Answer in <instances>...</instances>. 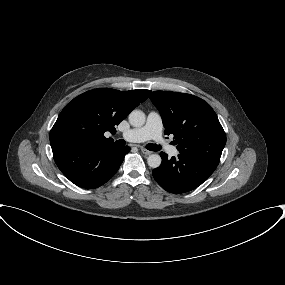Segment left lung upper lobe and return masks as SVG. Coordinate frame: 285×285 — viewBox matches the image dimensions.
Listing matches in <instances>:
<instances>
[{
    "label": "left lung upper lobe",
    "mask_w": 285,
    "mask_h": 285,
    "mask_svg": "<svg viewBox=\"0 0 285 285\" xmlns=\"http://www.w3.org/2000/svg\"><path fill=\"white\" fill-rule=\"evenodd\" d=\"M150 99L161 114L165 134L174 135L181 154L219 164L226 135L207 102L171 91H154Z\"/></svg>",
    "instance_id": "left-lung-upper-lobe-1"
}]
</instances>
